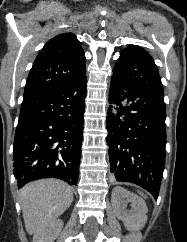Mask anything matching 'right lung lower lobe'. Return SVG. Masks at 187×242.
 <instances>
[{"label":"right lung lower lobe","mask_w":187,"mask_h":242,"mask_svg":"<svg viewBox=\"0 0 187 242\" xmlns=\"http://www.w3.org/2000/svg\"><path fill=\"white\" fill-rule=\"evenodd\" d=\"M86 77L67 87L23 98L13 161L18 186L40 178L77 185Z\"/></svg>","instance_id":"right-lung-lower-lobe-1"}]
</instances>
